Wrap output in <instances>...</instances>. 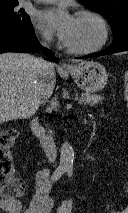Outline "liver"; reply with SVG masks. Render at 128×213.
Instances as JSON below:
<instances>
[{
	"instance_id": "1",
	"label": "liver",
	"mask_w": 128,
	"mask_h": 213,
	"mask_svg": "<svg viewBox=\"0 0 128 213\" xmlns=\"http://www.w3.org/2000/svg\"><path fill=\"white\" fill-rule=\"evenodd\" d=\"M36 60L23 53L0 54V124L29 118L38 110L40 76ZM55 83V69L52 65L47 84L53 90Z\"/></svg>"
}]
</instances>
